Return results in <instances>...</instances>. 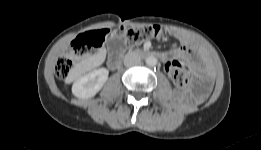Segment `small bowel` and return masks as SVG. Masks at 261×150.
<instances>
[{"label":"small bowel","mask_w":261,"mask_h":150,"mask_svg":"<svg viewBox=\"0 0 261 150\" xmlns=\"http://www.w3.org/2000/svg\"><path fill=\"white\" fill-rule=\"evenodd\" d=\"M171 34L180 41L181 46L170 53L159 54V56L165 60V70L167 71V64L171 61L168 60L169 56H174L190 66H195L196 44L194 39L190 35L183 32L172 31Z\"/></svg>","instance_id":"obj_1"}]
</instances>
